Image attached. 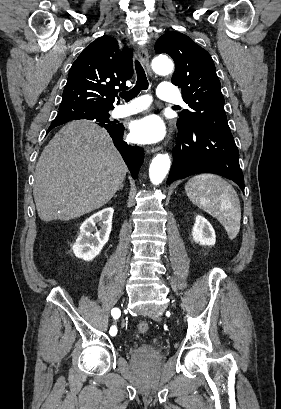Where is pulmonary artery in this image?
Listing matches in <instances>:
<instances>
[{"instance_id":"1","label":"pulmonary artery","mask_w":281,"mask_h":409,"mask_svg":"<svg viewBox=\"0 0 281 409\" xmlns=\"http://www.w3.org/2000/svg\"><path fill=\"white\" fill-rule=\"evenodd\" d=\"M158 92L165 103H179L181 101V96L179 95L176 81H163L158 89ZM135 100L137 102H125L123 104V108L116 107L111 112L112 117L122 119L147 108L149 104L140 106L138 102L141 101L142 103H149L151 101V96L149 94H142L141 96L137 95Z\"/></svg>"}]
</instances>
